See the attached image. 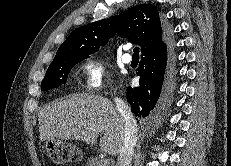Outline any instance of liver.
Returning <instances> with one entry per match:
<instances>
[{
  "mask_svg": "<svg viewBox=\"0 0 231 166\" xmlns=\"http://www.w3.org/2000/svg\"><path fill=\"white\" fill-rule=\"evenodd\" d=\"M38 122L41 141L75 139L94 145L103 133L100 148L113 156L119 154L124 138L125 121L116 106L86 93L49 103L38 113Z\"/></svg>",
  "mask_w": 231,
  "mask_h": 166,
  "instance_id": "6515ba94",
  "label": "liver"
}]
</instances>
